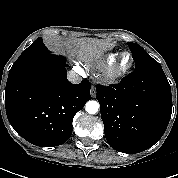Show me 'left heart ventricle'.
<instances>
[{
	"instance_id": "b2bd125f",
	"label": "left heart ventricle",
	"mask_w": 178,
	"mask_h": 178,
	"mask_svg": "<svg viewBox=\"0 0 178 178\" xmlns=\"http://www.w3.org/2000/svg\"><path fill=\"white\" fill-rule=\"evenodd\" d=\"M131 62V58L129 55H124L121 60V67L125 68L127 67Z\"/></svg>"
}]
</instances>
